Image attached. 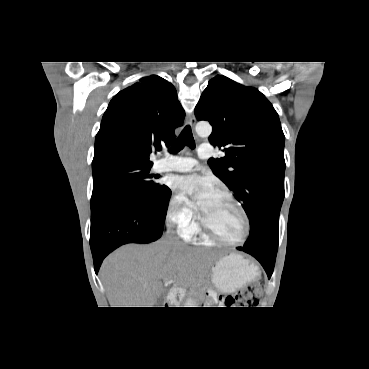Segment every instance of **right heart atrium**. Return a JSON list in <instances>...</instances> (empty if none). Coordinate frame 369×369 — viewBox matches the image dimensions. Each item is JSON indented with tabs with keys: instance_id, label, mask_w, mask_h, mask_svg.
<instances>
[{
	"instance_id": "d8ad5b80",
	"label": "right heart atrium",
	"mask_w": 369,
	"mask_h": 369,
	"mask_svg": "<svg viewBox=\"0 0 369 369\" xmlns=\"http://www.w3.org/2000/svg\"><path fill=\"white\" fill-rule=\"evenodd\" d=\"M167 217L184 235L190 234L196 227L195 211L180 195H172L167 206Z\"/></svg>"
}]
</instances>
